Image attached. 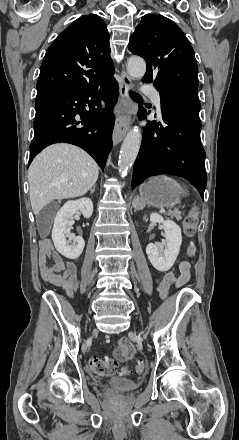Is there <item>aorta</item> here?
<instances>
[{"label": "aorta", "mask_w": 239, "mask_h": 440, "mask_svg": "<svg viewBox=\"0 0 239 440\" xmlns=\"http://www.w3.org/2000/svg\"><path fill=\"white\" fill-rule=\"evenodd\" d=\"M127 72L132 78H143L146 72V62L139 58V56H133L127 60ZM141 146V132L138 128H133L128 132L119 154V172L122 176H126L129 168L134 164L139 148Z\"/></svg>", "instance_id": "762f6f07"}]
</instances>
